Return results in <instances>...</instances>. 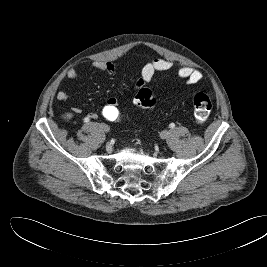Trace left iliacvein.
<instances>
[{
	"label": "left iliac vein",
	"instance_id": "left-iliac-vein-1",
	"mask_svg": "<svg viewBox=\"0 0 267 267\" xmlns=\"http://www.w3.org/2000/svg\"><path fill=\"white\" fill-rule=\"evenodd\" d=\"M169 135H170V131H168V130H163V131L160 133V137H161L162 139H167V138L169 137Z\"/></svg>",
	"mask_w": 267,
	"mask_h": 267
}]
</instances>
